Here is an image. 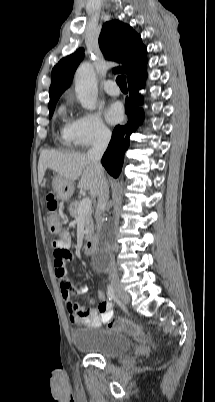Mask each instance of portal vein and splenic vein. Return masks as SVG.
<instances>
[{
    "label": "portal vein and splenic vein",
    "instance_id": "obj_1",
    "mask_svg": "<svg viewBox=\"0 0 215 402\" xmlns=\"http://www.w3.org/2000/svg\"><path fill=\"white\" fill-rule=\"evenodd\" d=\"M91 207H92V201L90 200V198H83L78 207V215L84 216L91 210Z\"/></svg>",
    "mask_w": 215,
    "mask_h": 402
}]
</instances>
